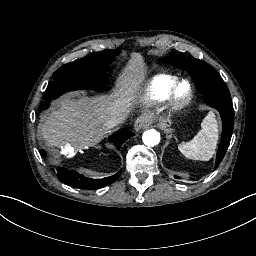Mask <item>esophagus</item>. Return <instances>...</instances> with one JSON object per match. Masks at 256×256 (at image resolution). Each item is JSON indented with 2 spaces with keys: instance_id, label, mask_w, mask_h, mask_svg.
<instances>
[{
  "instance_id": "esophagus-1",
  "label": "esophagus",
  "mask_w": 256,
  "mask_h": 256,
  "mask_svg": "<svg viewBox=\"0 0 256 256\" xmlns=\"http://www.w3.org/2000/svg\"><path fill=\"white\" fill-rule=\"evenodd\" d=\"M149 122L144 117H139L134 122V129L136 132H139L142 128L148 126Z\"/></svg>"
}]
</instances>
